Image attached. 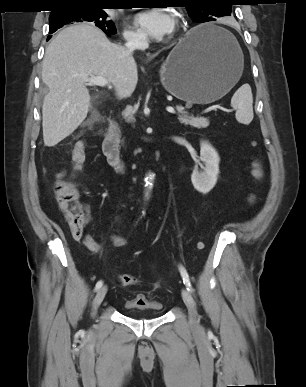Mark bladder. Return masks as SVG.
Listing matches in <instances>:
<instances>
[{"label":"bladder","instance_id":"1","mask_svg":"<svg viewBox=\"0 0 306 387\" xmlns=\"http://www.w3.org/2000/svg\"><path fill=\"white\" fill-rule=\"evenodd\" d=\"M141 298L142 303H137V299ZM124 309L126 313L131 317H136L138 314L147 313L152 317H159L164 312V306L162 303L148 299L144 295L140 294L137 298L125 303Z\"/></svg>","mask_w":306,"mask_h":387}]
</instances>
